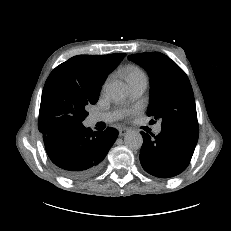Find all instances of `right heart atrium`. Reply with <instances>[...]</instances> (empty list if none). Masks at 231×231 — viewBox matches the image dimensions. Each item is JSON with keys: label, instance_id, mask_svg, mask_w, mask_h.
I'll return each mask as SVG.
<instances>
[{"label": "right heart atrium", "instance_id": "obj_1", "mask_svg": "<svg viewBox=\"0 0 231 231\" xmlns=\"http://www.w3.org/2000/svg\"><path fill=\"white\" fill-rule=\"evenodd\" d=\"M109 79H110V78H107V79L105 80V82L103 83V85H102V91H105V90H106L107 85H108V83H109Z\"/></svg>", "mask_w": 231, "mask_h": 231}]
</instances>
